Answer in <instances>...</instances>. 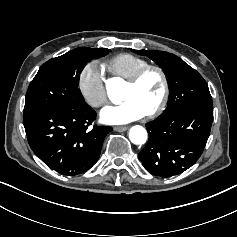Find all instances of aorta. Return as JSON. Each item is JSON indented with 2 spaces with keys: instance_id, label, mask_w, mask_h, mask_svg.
Listing matches in <instances>:
<instances>
[{
  "instance_id": "aorta-1",
  "label": "aorta",
  "mask_w": 237,
  "mask_h": 237,
  "mask_svg": "<svg viewBox=\"0 0 237 237\" xmlns=\"http://www.w3.org/2000/svg\"><path fill=\"white\" fill-rule=\"evenodd\" d=\"M130 141L135 145H144L148 139V133L142 126H134L130 130Z\"/></svg>"
}]
</instances>
